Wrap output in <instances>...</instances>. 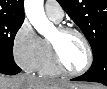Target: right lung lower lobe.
Returning <instances> with one entry per match:
<instances>
[{
  "mask_svg": "<svg viewBox=\"0 0 107 89\" xmlns=\"http://www.w3.org/2000/svg\"><path fill=\"white\" fill-rule=\"evenodd\" d=\"M21 71V69L16 66H9L6 64L0 63V73L6 74V75H14Z\"/></svg>",
  "mask_w": 107,
  "mask_h": 89,
  "instance_id": "1",
  "label": "right lung lower lobe"
}]
</instances>
